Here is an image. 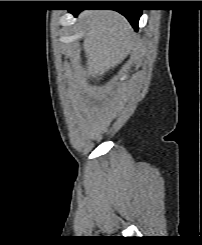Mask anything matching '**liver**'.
<instances>
[{
	"label": "liver",
	"mask_w": 202,
	"mask_h": 245,
	"mask_svg": "<svg viewBox=\"0 0 202 245\" xmlns=\"http://www.w3.org/2000/svg\"><path fill=\"white\" fill-rule=\"evenodd\" d=\"M80 20L86 25L83 43L86 69L93 78H100L131 51V26L122 15L111 11H88L80 15Z\"/></svg>",
	"instance_id": "1"
}]
</instances>
